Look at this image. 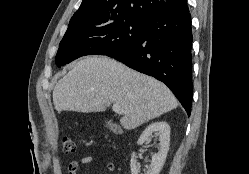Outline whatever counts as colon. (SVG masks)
Returning a JSON list of instances; mask_svg holds the SVG:
<instances>
[{"instance_id": "5ec220e1", "label": "colon", "mask_w": 249, "mask_h": 174, "mask_svg": "<svg viewBox=\"0 0 249 174\" xmlns=\"http://www.w3.org/2000/svg\"><path fill=\"white\" fill-rule=\"evenodd\" d=\"M61 143H62V147L65 153L67 154L75 153L76 146H75L73 139L70 136L64 135L61 139Z\"/></svg>"}]
</instances>
